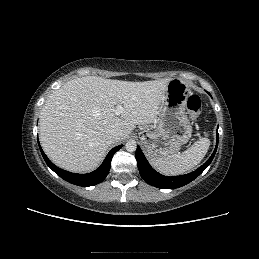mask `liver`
<instances>
[{"instance_id": "liver-1", "label": "liver", "mask_w": 259, "mask_h": 259, "mask_svg": "<svg viewBox=\"0 0 259 259\" xmlns=\"http://www.w3.org/2000/svg\"><path fill=\"white\" fill-rule=\"evenodd\" d=\"M171 79L129 82L96 76L66 82L45 101L40 115V142L57 166L76 173L96 169L115 129L125 139L136 127L155 122ZM121 105L124 111L115 114ZM119 140V141H120Z\"/></svg>"}]
</instances>
